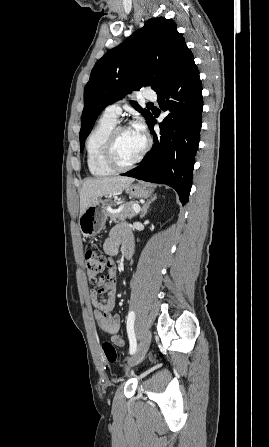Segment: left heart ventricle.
Returning a JSON list of instances; mask_svg holds the SVG:
<instances>
[{"label": "left heart ventricle", "instance_id": "b2bd125f", "mask_svg": "<svg viewBox=\"0 0 269 447\" xmlns=\"http://www.w3.org/2000/svg\"><path fill=\"white\" fill-rule=\"evenodd\" d=\"M146 145L145 134L134 127L122 130L116 140V153L118 160L123 164L133 162L143 151Z\"/></svg>", "mask_w": 269, "mask_h": 447}]
</instances>
